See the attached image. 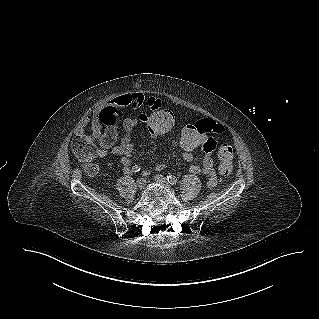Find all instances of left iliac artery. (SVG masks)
<instances>
[{
    "mask_svg": "<svg viewBox=\"0 0 319 319\" xmlns=\"http://www.w3.org/2000/svg\"><path fill=\"white\" fill-rule=\"evenodd\" d=\"M167 181L171 184V185H176L177 183V178L173 175H168L167 176Z\"/></svg>",
    "mask_w": 319,
    "mask_h": 319,
    "instance_id": "obj_1",
    "label": "left iliac artery"
}]
</instances>
